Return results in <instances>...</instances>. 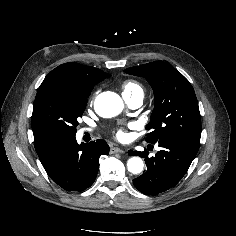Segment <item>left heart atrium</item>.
<instances>
[{"label": "left heart atrium", "mask_w": 236, "mask_h": 236, "mask_svg": "<svg viewBox=\"0 0 236 236\" xmlns=\"http://www.w3.org/2000/svg\"><path fill=\"white\" fill-rule=\"evenodd\" d=\"M116 137L119 139V140H125L126 139V133L123 129H118L116 131Z\"/></svg>", "instance_id": "39dd6f15"}]
</instances>
